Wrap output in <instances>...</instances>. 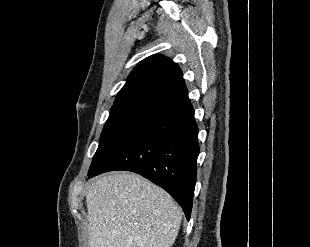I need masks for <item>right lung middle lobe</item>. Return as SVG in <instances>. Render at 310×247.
<instances>
[{"label": "right lung middle lobe", "mask_w": 310, "mask_h": 247, "mask_svg": "<svg viewBox=\"0 0 310 247\" xmlns=\"http://www.w3.org/2000/svg\"><path fill=\"white\" fill-rule=\"evenodd\" d=\"M158 113L159 111L150 107L125 108L110 112L89 172L104 164L141 126Z\"/></svg>", "instance_id": "obj_1"}]
</instances>
